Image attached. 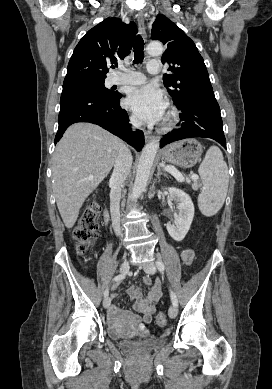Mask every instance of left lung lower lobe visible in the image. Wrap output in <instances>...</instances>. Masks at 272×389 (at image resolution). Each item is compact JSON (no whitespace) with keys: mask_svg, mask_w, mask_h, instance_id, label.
I'll use <instances>...</instances> for the list:
<instances>
[{"mask_svg":"<svg viewBox=\"0 0 272 389\" xmlns=\"http://www.w3.org/2000/svg\"><path fill=\"white\" fill-rule=\"evenodd\" d=\"M181 127L166 134L160 147L191 137L210 138L226 148L220 107L213 91L195 95L179 107Z\"/></svg>","mask_w":272,"mask_h":389,"instance_id":"0a47b994","label":"left lung lower lobe"}]
</instances>
